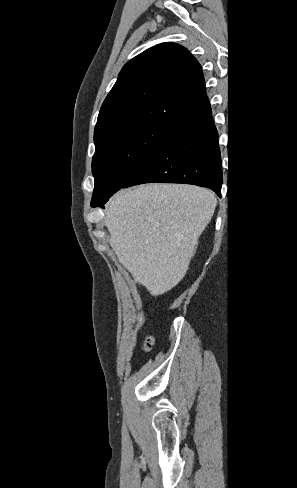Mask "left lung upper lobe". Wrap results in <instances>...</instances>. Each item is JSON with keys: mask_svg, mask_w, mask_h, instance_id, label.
Masks as SVG:
<instances>
[{"mask_svg": "<svg viewBox=\"0 0 297 488\" xmlns=\"http://www.w3.org/2000/svg\"><path fill=\"white\" fill-rule=\"evenodd\" d=\"M229 141H230V136H228V145H229Z\"/></svg>", "mask_w": 297, "mask_h": 488, "instance_id": "left-lung-upper-lobe-1", "label": "left lung upper lobe"}]
</instances>
